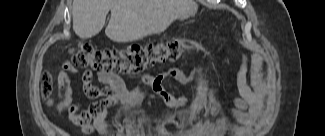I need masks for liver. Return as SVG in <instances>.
I'll list each match as a JSON object with an SVG mask.
<instances>
[{"label": "liver", "mask_w": 325, "mask_h": 136, "mask_svg": "<svg viewBox=\"0 0 325 136\" xmlns=\"http://www.w3.org/2000/svg\"><path fill=\"white\" fill-rule=\"evenodd\" d=\"M193 0H73V30L82 39L97 35L111 17L105 33L119 43L159 34L177 19L196 13Z\"/></svg>", "instance_id": "6515ba94"}]
</instances>
